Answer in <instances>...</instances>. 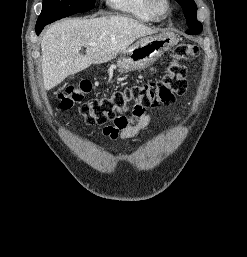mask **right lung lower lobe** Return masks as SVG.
Returning a JSON list of instances; mask_svg holds the SVG:
<instances>
[{"instance_id": "98d812e1", "label": "right lung lower lobe", "mask_w": 247, "mask_h": 257, "mask_svg": "<svg viewBox=\"0 0 247 257\" xmlns=\"http://www.w3.org/2000/svg\"><path fill=\"white\" fill-rule=\"evenodd\" d=\"M47 24L49 23L36 24V27H35L36 34L39 35L43 30L44 26H46Z\"/></svg>"}]
</instances>
